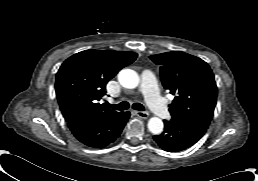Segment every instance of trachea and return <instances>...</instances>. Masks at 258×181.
Here are the masks:
<instances>
[{
  "label": "trachea",
  "mask_w": 258,
  "mask_h": 181,
  "mask_svg": "<svg viewBox=\"0 0 258 181\" xmlns=\"http://www.w3.org/2000/svg\"><path fill=\"white\" fill-rule=\"evenodd\" d=\"M109 106L111 108L115 109V110H121V111L122 110H127L130 107L129 103L126 102V101L121 102V103H119L117 105H109ZM132 108L135 109V110H139V111H144L145 110L144 106L142 104H140V103H134L132 105Z\"/></svg>",
  "instance_id": "obj_1"
}]
</instances>
